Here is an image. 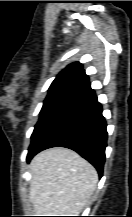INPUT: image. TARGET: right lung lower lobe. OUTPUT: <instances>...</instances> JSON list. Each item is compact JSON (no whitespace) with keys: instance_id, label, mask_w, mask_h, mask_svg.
Listing matches in <instances>:
<instances>
[{"instance_id":"98d812e1","label":"right lung lower lobe","mask_w":132,"mask_h":217,"mask_svg":"<svg viewBox=\"0 0 132 217\" xmlns=\"http://www.w3.org/2000/svg\"><path fill=\"white\" fill-rule=\"evenodd\" d=\"M107 140L102 106L95 93L76 98L63 108L29 147L27 161L51 147H66L88 160L102 176Z\"/></svg>"}]
</instances>
